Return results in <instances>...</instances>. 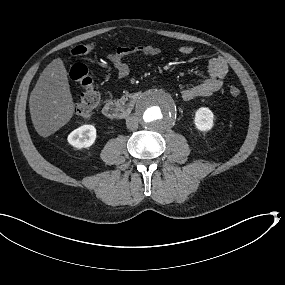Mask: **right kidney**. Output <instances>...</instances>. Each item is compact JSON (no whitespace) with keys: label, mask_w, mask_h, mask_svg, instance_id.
I'll list each match as a JSON object with an SVG mask.
<instances>
[{"label":"right kidney","mask_w":285,"mask_h":285,"mask_svg":"<svg viewBox=\"0 0 285 285\" xmlns=\"http://www.w3.org/2000/svg\"><path fill=\"white\" fill-rule=\"evenodd\" d=\"M96 139V129L93 125H83L68 135V142L78 148L90 147Z\"/></svg>","instance_id":"ca27d5eb"}]
</instances>
